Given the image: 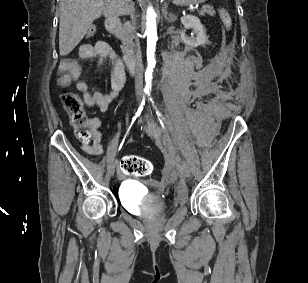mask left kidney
I'll return each instance as SVG.
<instances>
[{
  "label": "left kidney",
  "instance_id": "obj_1",
  "mask_svg": "<svg viewBox=\"0 0 308 283\" xmlns=\"http://www.w3.org/2000/svg\"><path fill=\"white\" fill-rule=\"evenodd\" d=\"M181 22L185 29H192L196 37H188L185 31L181 32L182 41L191 47H198L207 41L206 34L199 18L193 15H185L181 17Z\"/></svg>",
  "mask_w": 308,
  "mask_h": 283
}]
</instances>
